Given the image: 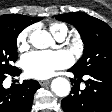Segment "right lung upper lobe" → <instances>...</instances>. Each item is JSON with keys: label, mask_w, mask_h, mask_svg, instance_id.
I'll return each instance as SVG.
<instances>
[{"label": "right lung upper lobe", "mask_w": 112, "mask_h": 112, "mask_svg": "<svg viewBox=\"0 0 112 112\" xmlns=\"http://www.w3.org/2000/svg\"><path fill=\"white\" fill-rule=\"evenodd\" d=\"M12 14H6V15H2V16H0V25H2L3 23H4V20L7 18V17H9V16H11ZM23 18H24V20L28 23V26L30 25V24H33V23H35V22H38V21H40L41 20V18H39V17H29V16H24V15H21Z\"/></svg>", "instance_id": "obj_1"}]
</instances>
